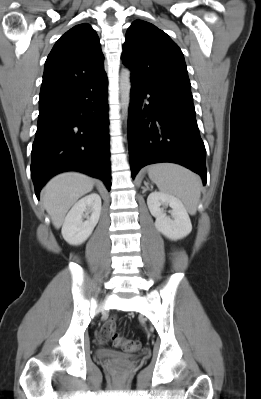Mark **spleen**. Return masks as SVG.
<instances>
[{
    "mask_svg": "<svg viewBox=\"0 0 261 399\" xmlns=\"http://www.w3.org/2000/svg\"><path fill=\"white\" fill-rule=\"evenodd\" d=\"M148 176L161 192L178 197L191 215L196 214L201 196L198 175L180 165L159 163L149 167Z\"/></svg>",
    "mask_w": 261,
    "mask_h": 399,
    "instance_id": "3e777b00",
    "label": "spleen"
}]
</instances>
